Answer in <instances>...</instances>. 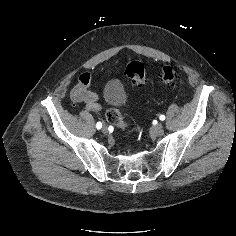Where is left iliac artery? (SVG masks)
<instances>
[{"mask_svg": "<svg viewBox=\"0 0 236 236\" xmlns=\"http://www.w3.org/2000/svg\"><path fill=\"white\" fill-rule=\"evenodd\" d=\"M159 119H160L161 121H163V120H165V116H164V115H160Z\"/></svg>", "mask_w": 236, "mask_h": 236, "instance_id": "obj_1", "label": "left iliac artery"}]
</instances>
